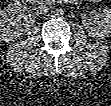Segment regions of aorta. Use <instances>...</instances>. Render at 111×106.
<instances>
[{
  "label": "aorta",
  "instance_id": "obj_1",
  "mask_svg": "<svg viewBox=\"0 0 111 106\" xmlns=\"http://www.w3.org/2000/svg\"><path fill=\"white\" fill-rule=\"evenodd\" d=\"M55 13H56L57 15H63V14H64V9L61 8V7H59V8H57V9L55 10Z\"/></svg>",
  "mask_w": 111,
  "mask_h": 106
}]
</instances>
